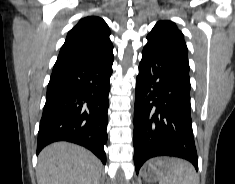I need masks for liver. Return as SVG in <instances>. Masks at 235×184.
I'll list each match as a JSON object with an SVG mask.
<instances>
[{
  "label": "liver",
  "instance_id": "obj_1",
  "mask_svg": "<svg viewBox=\"0 0 235 184\" xmlns=\"http://www.w3.org/2000/svg\"><path fill=\"white\" fill-rule=\"evenodd\" d=\"M102 164L89 150L56 142L39 154L37 184H99Z\"/></svg>",
  "mask_w": 235,
  "mask_h": 184
}]
</instances>
